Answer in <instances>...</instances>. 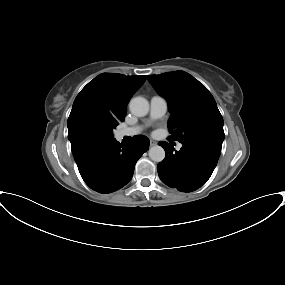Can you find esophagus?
Here are the masks:
<instances>
[{
  "label": "esophagus",
  "mask_w": 285,
  "mask_h": 285,
  "mask_svg": "<svg viewBox=\"0 0 285 285\" xmlns=\"http://www.w3.org/2000/svg\"><path fill=\"white\" fill-rule=\"evenodd\" d=\"M156 144H157L156 141L150 140V146H151V147L155 146Z\"/></svg>",
  "instance_id": "34e87169"
}]
</instances>
